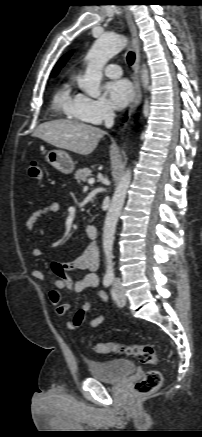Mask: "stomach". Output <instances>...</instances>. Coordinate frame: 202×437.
Here are the masks:
<instances>
[{
    "label": "stomach",
    "mask_w": 202,
    "mask_h": 437,
    "mask_svg": "<svg viewBox=\"0 0 202 437\" xmlns=\"http://www.w3.org/2000/svg\"><path fill=\"white\" fill-rule=\"evenodd\" d=\"M45 159L63 174H71L75 167L72 158L63 150H50L47 152Z\"/></svg>",
    "instance_id": "stomach-1"
}]
</instances>
